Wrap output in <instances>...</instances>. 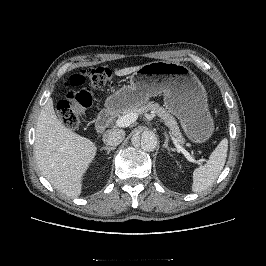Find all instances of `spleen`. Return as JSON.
Segmentation results:
<instances>
[{"label":"spleen","mask_w":266,"mask_h":266,"mask_svg":"<svg viewBox=\"0 0 266 266\" xmlns=\"http://www.w3.org/2000/svg\"><path fill=\"white\" fill-rule=\"evenodd\" d=\"M227 150L228 140L224 138L211 153L206 164L194 170L193 192L200 193L208 189L216 181L226 162Z\"/></svg>","instance_id":"1"}]
</instances>
